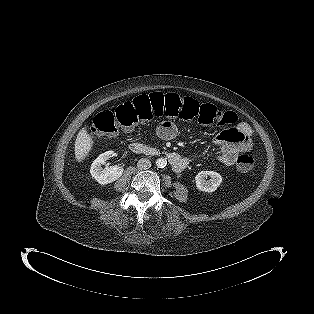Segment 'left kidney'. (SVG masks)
Returning a JSON list of instances; mask_svg holds the SVG:
<instances>
[{
    "label": "left kidney",
    "instance_id": "obj_1",
    "mask_svg": "<svg viewBox=\"0 0 314 314\" xmlns=\"http://www.w3.org/2000/svg\"><path fill=\"white\" fill-rule=\"evenodd\" d=\"M207 176H210L211 179L206 180L205 178ZM195 181L198 190L211 193L214 192L221 184L222 176L214 171H201L196 175Z\"/></svg>",
    "mask_w": 314,
    "mask_h": 314
}]
</instances>
